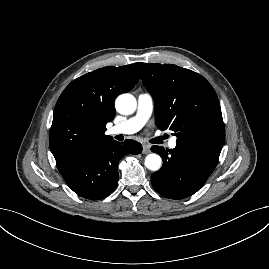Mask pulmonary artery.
Listing matches in <instances>:
<instances>
[{"instance_id":"pulmonary-artery-1","label":"pulmonary artery","mask_w":269,"mask_h":269,"mask_svg":"<svg viewBox=\"0 0 269 269\" xmlns=\"http://www.w3.org/2000/svg\"><path fill=\"white\" fill-rule=\"evenodd\" d=\"M154 108L153 97L149 93H140L137 97L136 114L126 121L110 128V134H133L139 131L150 118ZM177 145L176 137H172L168 146L174 149Z\"/></svg>"}]
</instances>
